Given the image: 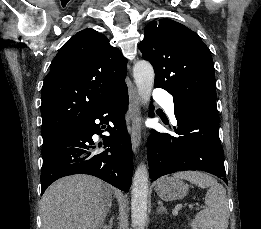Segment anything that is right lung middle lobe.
I'll return each mask as SVG.
<instances>
[{
    "instance_id": "1",
    "label": "right lung middle lobe",
    "mask_w": 261,
    "mask_h": 229,
    "mask_svg": "<svg viewBox=\"0 0 261 229\" xmlns=\"http://www.w3.org/2000/svg\"><path fill=\"white\" fill-rule=\"evenodd\" d=\"M59 135H61V132L57 130H42L43 144L50 142Z\"/></svg>"
}]
</instances>
